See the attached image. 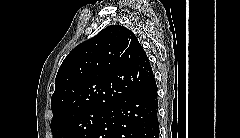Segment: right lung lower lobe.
<instances>
[{"mask_svg":"<svg viewBox=\"0 0 240 138\" xmlns=\"http://www.w3.org/2000/svg\"><path fill=\"white\" fill-rule=\"evenodd\" d=\"M155 78L111 105L90 138H158Z\"/></svg>","mask_w":240,"mask_h":138,"instance_id":"obj_1","label":"right lung lower lobe"}]
</instances>
